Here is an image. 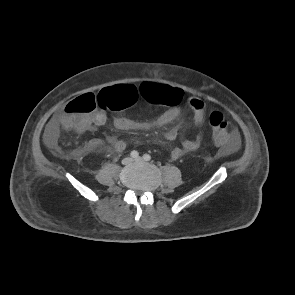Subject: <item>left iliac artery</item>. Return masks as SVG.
<instances>
[{
    "label": "left iliac artery",
    "instance_id": "1",
    "mask_svg": "<svg viewBox=\"0 0 295 295\" xmlns=\"http://www.w3.org/2000/svg\"><path fill=\"white\" fill-rule=\"evenodd\" d=\"M143 158L145 161L151 160V156L149 154H144Z\"/></svg>",
    "mask_w": 295,
    "mask_h": 295
}]
</instances>
